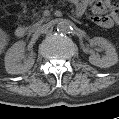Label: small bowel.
<instances>
[{
	"instance_id": "1",
	"label": "small bowel",
	"mask_w": 119,
	"mask_h": 119,
	"mask_svg": "<svg viewBox=\"0 0 119 119\" xmlns=\"http://www.w3.org/2000/svg\"><path fill=\"white\" fill-rule=\"evenodd\" d=\"M77 15L90 12L91 20L101 28H111L119 21V6L109 0L75 1Z\"/></svg>"
}]
</instances>
